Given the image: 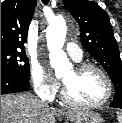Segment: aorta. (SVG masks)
I'll list each match as a JSON object with an SVG mask.
<instances>
[{"label":"aorta","mask_w":122,"mask_h":123,"mask_svg":"<svg viewBox=\"0 0 122 123\" xmlns=\"http://www.w3.org/2000/svg\"><path fill=\"white\" fill-rule=\"evenodd\" d=\"M49 59L56 75L70 67L66 53L62 50L66 38V21L62 16L54 17L47 27Z\"/></svg>","instance_id":"obj_1"}]
</instances>
